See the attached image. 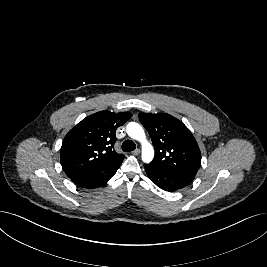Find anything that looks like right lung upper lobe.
Masks as SVG:
<instances>
[{
  "mask_svg": "<svg viewBox=\"0 0 267 267\" xmlns=\"http://www.w3.org/2000/svg\"><path fill=\"white\" fill-rule=\"evenodd\" d=\"M131 118L128 112L101 111L84 118L65 136L60 159L68 177L117 161L124 155L114 150L116 129Z\"/></svg>",
  "mask_w": 267,
  "mask_h": 267,
  "instance_id": "1",
  "label": "right lung upper lobe"
}]
</instances>
